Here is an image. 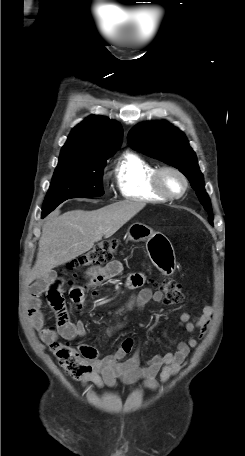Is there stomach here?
I'll list each match as a JSON object with an SVG mask.
<instances>
[{"instance_id": "0dacf381", "label": "stomach", "mask_w": 245, "mask_h": 456, "mask_svg": "<svg viewBox=\"0 0 245 456\" xmlns=\"http://www.w3.org/2000/svg\"><path fill=\"white\" fill-rule=\"evenodd\" d=\"M127 235L133 242L146 241L147 252L152 263L165 275L173 273L176 264L175 253L167 237L137 222L128 228Z\"/></svg>"}]
</instances>
